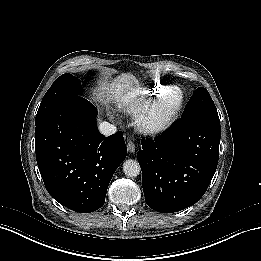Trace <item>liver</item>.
Returning <instances> with one entry per match:
<instances>
[{
    "label": "liver",
    "mask_w": 261,
    "mask_h": 261,
    "mask_svg": "<svg viewBox=\"0 0 261 261\" xmlns=\"http://www.w3.org/2000/svg\"><path fill=\"white\" fill-rule=\"evenodd\" d=\"M106 89L107 88L104 85L100 88L99 93H98L100 97H104V94L106 93Z\"/></svg>",
    "instance_id": "liver-1"
}]
</instances>
